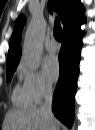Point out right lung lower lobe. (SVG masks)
I'll return each instance as SVG.
<instances>
[{
  "label": "right lung lower lobe",
  "mask_w": 95,
  "mask_h": 130,
  "mask_svg": "<svg viewBox=\"0 0 95 130\" xmlns=\"http://www.w3.org/2000/svg\"><path fill=\"white\" fill-rule=\"evenodd\" d=\"M82 35L83 32L80 30L63 36L59 53L60 76L53 94L52 110L55 116L68 127L73 123L74 94L79 74Z\"/></svg>",
  "instance_id": "right-lung-lower-lobe-1"
}]
</instances>
